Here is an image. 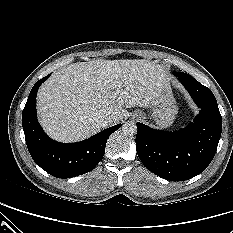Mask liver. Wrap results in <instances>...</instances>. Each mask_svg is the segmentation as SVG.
<instances>
[{
  "instance_id": "6515ba94",
  "label": "liver",
  "mask_w": 233,
  "mask_h": 233,
  "mask_svg": "<svg viewBox=\"0 0 233 233\" xmlns=\"http://www.w3.org/2000/svg\"><path fill=\"white\" fill-rule=\"evenodd\" d=\"M168 85L165 70L143 59L70 64L40 87V123L57 141H80L103 128L98 116L108 115L115 124L128 114L125 108L151 106Z\"/></svg>"
}]
</instances>
